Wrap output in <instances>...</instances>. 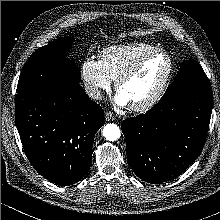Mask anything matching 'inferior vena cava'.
<instances>
[{
    "mask_svg": "<svg viewBox=\"0 0 220 220\" xmlns=\"http://www.w3.org/2000/svg\"><path fill=\"white\" fill-rule=\"evenodd\" d=\"M85 92L92 99L101 100L103 98L101 91L95 86H85Z\"/></svg>",
    "mask_w": 220,
    "mask_h": 220,
    "instance_id": "602c4592",
    "label": "inferior vena cava"
}]
</instances>
